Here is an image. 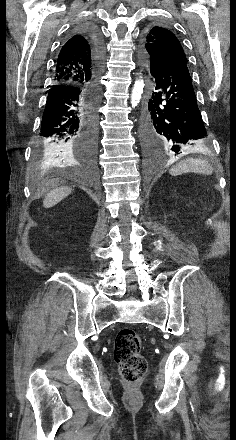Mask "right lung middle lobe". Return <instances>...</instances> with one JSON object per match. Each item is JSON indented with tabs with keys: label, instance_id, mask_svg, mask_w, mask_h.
Listing matches in <instances>:
<instances>
[{
	"label": "right lung middle lobe",
	"instance_id": "1",
	"mask_svg": "<svg viewBox=\"0 0 236 440\" xmlns=\"http://www.w3.org/2000/svg\"><path fill=\"white\" fill-rule=\"evenodd\" d=\"M99 90H100V87H99ZM48 159L49 158L45 155V153L43 151H38L35 155V161L37 163H42Z\"/></svg>",
	"mask_w": 236,
	"mask_h": 440
}]
</instances>
